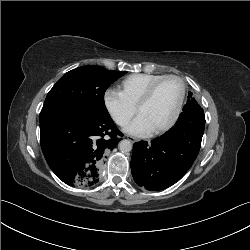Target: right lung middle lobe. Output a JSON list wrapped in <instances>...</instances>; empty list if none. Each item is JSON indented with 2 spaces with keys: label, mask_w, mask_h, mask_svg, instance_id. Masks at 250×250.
<instances>
[{
  "label": "right lung middle lobe",
  "mask_w": 250,
  "mask_h": 250,
  "mask_svg": "<svg viewBox=\"0 0 250 250\" xmlns=\"http://www.w3.org/2000/svg\"><path fill=\"white\" fill-rule=\"evenodd\" d=\"M125 73L93 65L67 72L49 91L40 113V122L63 113H108L104 93Z\"/></svg>",
  "instance_id": "1"
}]
</instances>
